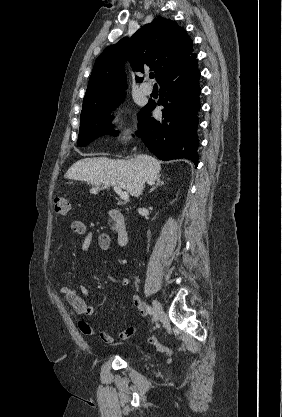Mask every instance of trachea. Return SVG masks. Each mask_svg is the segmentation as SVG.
Listing matches in <instances>:
<instances>
[{
    "label": "trachea",
    "mask_w": 282,
    "mask_h": 417,
    "mask_svg": "<svg viewBox=\"0 0 282 417\" xmlns=\"http://www.w3.org/2000/svg\"><path fill=\"white\" fill-rule=\"evenodd\" d=\"M149 76H150V78H152V79L154 78V74H152V73H151V74H149ZM154 87H157L156 83H155Z\"/></svg>",
    "instance_id": "obj_1"
}]
</instances>
